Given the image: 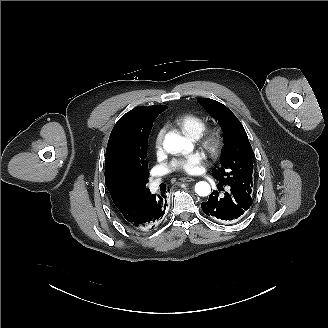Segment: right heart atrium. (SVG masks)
<instances>
[{
    "label": "right heart atrium",
    "mask_w": 328,
    "mask_h": 328,
    "mask_svg": "<svg viewBox=\"0 0 328 328\" xmlns=\"http://www.w3.org/2000/svg\"><path fill=\"white\" fill-rule=\"evenodd\" d=\"M166 133L165 126H159L155 129L152 139H151V150L156 155L159 156L163 152V141Z\"/></svg>",
    "instance_id": "right-heart-atrium-1"
}]
</instances>
